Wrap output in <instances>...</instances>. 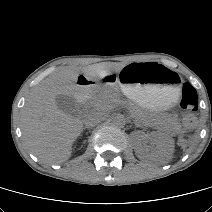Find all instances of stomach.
<instances>
[{"instance_id":"1","label":"stomach","mask_w":212,"mask_h":212,"mask_svg":"<svg viewBox=\"0 0 212 212\" xmlns=\"http://www.w3.org/2000/svg\"><path fill=\"white\" fill-rule=\"evenodd\" d=\"M116 81L130 100L145 109L167 108L179 96L176 73L156 62L125 65Z\"/></svg>"}]
</instances>
